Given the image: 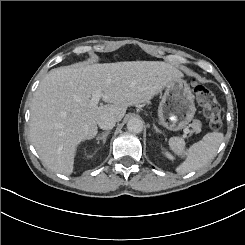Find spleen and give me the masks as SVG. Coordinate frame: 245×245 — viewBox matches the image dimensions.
Masks as SVG:
<instances>
[{"mask_svg":"<svg viewBox=\"0 0 245 245\" xmlns=\"http://www.w3.org/2000/svg\"><path fill=\"white\" fill-rule=\"evenodd\" d=\"M222 142L223 135L220 133H209L205 135L200 142L195 143L190 148L188 158L185 164L178 168V172L180 174H186L202 168L216 155ZM170 144L174 149L181 151L184 146V141L180 137H175L170 139Z\"/></svg>","mask_w":245,"mask_h":245,"instance_id":"3e777b00","label":"spleen"}]
</instances>
